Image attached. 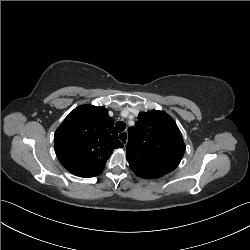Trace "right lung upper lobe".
Segmentation results:
<instances>
[{
    "mask_svg": "<svg viewBox=\"0 0 250 250\" xmlns=\"http://www.w3.org/2000/svg\"><path fill=\"white\" fill-rule=\"evenodd\" d=\"M55 153L61 164L79 177L100 174L115 148H122L108 110L93 105L74 109L54 135Z\"/></svg>",
    "mask_w": 250,
    "mask_h": 250,
    "instance_id": "cb5924a9",
    "label": "right lung upper lobe"
}]
</instances>
